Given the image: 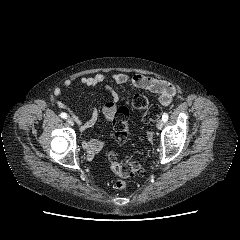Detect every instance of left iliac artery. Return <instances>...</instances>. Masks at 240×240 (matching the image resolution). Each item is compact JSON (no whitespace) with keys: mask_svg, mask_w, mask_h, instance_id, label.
Wrapping results in <instances>:
<instances>
[{"mask_svg":"<svg viewBox=\"0 0 240 240\" xmlns=\"http://www.w3.org/2000/svg\"><path fill=\"white\" fill-rule=\"evenodd\" d=\"M168 114L167 113H164L163 114V116H162V120L164 121V122H166L167 120H168Z\"/></svg>","mask_w":240,"mask_h":240,"instance_id":"obj_1","label":"left iliac artery"}]
</instances>
